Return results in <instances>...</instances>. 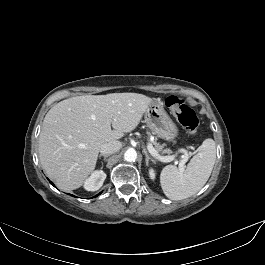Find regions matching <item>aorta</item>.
Here are the masks:
<instances>
[{
  "mask_svg": "<svg viewBox=\"0 0 265 265\" xmlns=\"http://www.w3.org/2000/svg\"><path fill=\"white\" fill-rule=\"evenodd\" d=\"M137 158V152L134 149H128L125 153H124V159L127 162H134Z\"/></svg>",
  "mask_w": 265,
  "mask_h": 265,
  "instance_id": "762f6f07",
  "label": "aorta"
}]
</instances>
